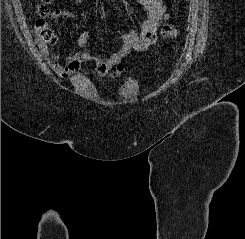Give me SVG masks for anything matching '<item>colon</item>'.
I'll return each mask as SVG.
<instances>
[{"label":"colon","mask_w":245,"mask_h":239,"mask_svg":"<svg viewBox=\"0 0 245 239\" xmlns=\"http://www.w3.org/2000/svg\"><path fill=\"white\" fill-rule=\"evenodd\" d=\"M50 2L51 0H41L36 9L39 18L34 25V34L36 43L42 50H46L56 40L53 30L46 22V18L50 14L48 6ZM161 35L166 40H171L177 35V29L169 20V16H166V22L162 26Z\"/></svg>","instance_id":"obj_1"}]
</instances>
